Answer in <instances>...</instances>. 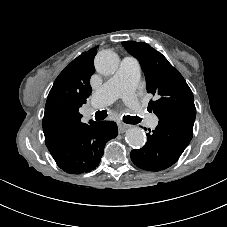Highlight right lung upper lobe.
I'll list each match as a JSON object with an SVG mask.
<instances>
[{
    "label": "right lung upper lobe",
    "mask_w": 227,
    "mask_h": 227,
    "mask_svg": "<svg viewBox=\"0 0 227 227\" xmlns=\"http://www.w3.org/2000/svg\"><path fill=\"white\" fill-rule=\"evenodd\" d=\"M96 48L75 58L56 78L46 101L43 132L48 150L88 126L78 109L91 94ZM94 123L90 121L89 124Z\"/></svg>",
    "instance_id": "obj_1"
}]
</instances>
